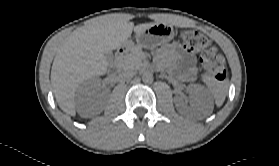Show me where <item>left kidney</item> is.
<instances>
[{"mask_svg":"<svg viewBox=\"0 0 279 166\" xmlns=\"http://www.w3.org/2000/svg\"><path fill=\"white\" fill-rule=\"evenodd\" d=\"M188 102L190 103L191 107L202 109L209 104H211V98L208 91L201 85L198 84H190L188 86ZM176 109L183 113L189 110V106L187 101H185L184 96H176L174 98Z\"/></svg>","mask_w":279,"mask_h":166,"instance_id":"5707ae66","label":"left kidney"}]
</instances>
